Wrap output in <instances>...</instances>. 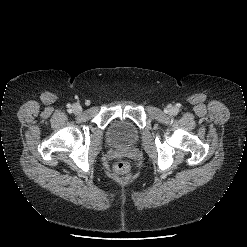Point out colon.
Returning a JSON list of instances; mask_svg holds the SVG:
<instances>
[{
    "instance_id": "colon-1",
    "label": "colon",
    "mask_w": 247,
    "mask_h": 247,
    "mask_svg": "<svg viewBox=\"0 0 247 247\" xmlns=\"http://www.w3.org/2000/svg\"><path fill=\"white\" fill-rule=\"evenodd\" d=\"M114 170L118 176H125L130 171V164L128 161L121 160L116 163Z\"/></svg>"
}]
</instances>
